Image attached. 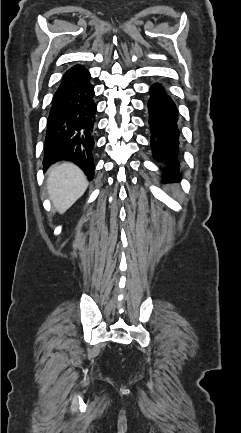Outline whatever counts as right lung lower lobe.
Returning <instances> with one entry per match:
<instances>
[{"label": "right lung lower lobe", "instance_id": "right-lung-lower-lobe-1", "mask_svg": "<svg viewBox=\"0 0 241 433\" xmlns=\"http://www.w3.org/2000/svg\"><path fill=\"white\" fill-rule=\"evenodd\" d=\"M90 73L82 66L69 69L56 90L45 138L44 166L68 160L77 164L89 177L94 176L92 151L96 104Z\"/></svg>", "mask_w": 241, "mask_h": 433}]
</instances>
